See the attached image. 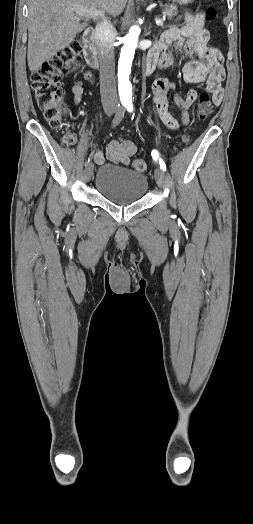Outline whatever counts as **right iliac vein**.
Returning <instances> with one entry per match:
<instances>
[{"label":"right iliac vein","mask_w":253,"mask_h":524,"mask_svg":"<svg viewBox=\"0 0 253 524\" xmlns=\"http://www.w3.org/2000/svg\"><path fill=\"white\" fill-rule=\"evenodd\" d=\"M114 112L113 109H107L106 110V114L108 116L112 115ZM93 170H94V165L92 163H89L86 167H85V170H84V178H85V181L86 182H89L92 178V175H93Z\"/></svg>","instance_id":"obj_1"}]
</instances>
